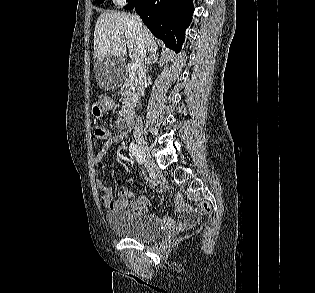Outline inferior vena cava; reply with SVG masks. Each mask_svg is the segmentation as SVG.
Segmentation results:
<instances>
[{"mask_svg": "<svg viewBox=\"0 0 315 293\" xmlns=\"http://www.w3.org/2000/svg\"><path fill=\"white\" fill-rule=\"evenodd\" d=\"M134 17L136 19L135 27L138 34V41L140 43V50H141V57H140L139 65H138L139 69H138L137 75H138L141 95L144 96L143 84H144V80L146 79L147 70H146V65L144 63V61L146 62V59L144 60L145 49L143 47V24L140 17L136 13ZM141 133H142V121H141V118L138 117L136 118L134 134H141Z\"/></svg>", "mask_w": 315, "mask_h": 293, "instance_id": "inferior-vena-cava-1", "label": "inferior vena cava"}]
</instances>
